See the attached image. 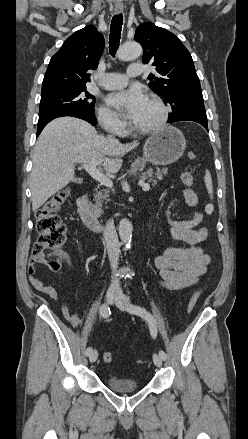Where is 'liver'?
<instances>
[{
    "label": "liver",
    "instance_id": "liver-1",
    "mask_svg": "<svg viewBox=\"0 0 248 439\" xmlns=\"http://www.w3.org/2000/svg\"><path fill=\"white\" fill-rule=\"evenodd\" d=\"M138 142L121 144L97 134L84 120L60 117L41 132L34 147L30 174L32 209L35 212L51 196L75 181V163L94 162L109 173H117L121 157L138 146Z\"/></svg>",
    "mask_w": 248,
    "mask_h": 439
}]
</instances>
